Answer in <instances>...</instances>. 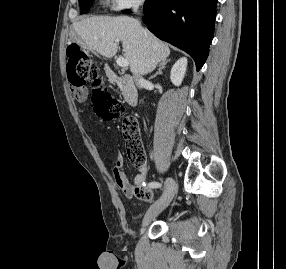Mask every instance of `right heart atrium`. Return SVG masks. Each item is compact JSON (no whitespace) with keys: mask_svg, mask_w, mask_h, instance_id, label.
I'll return each mask as SVG.
<instances>
[{"mask_svg":"<svg viewBox=\"0 0 286 269\" xmlns=\"http://www.w3.org/2000/svg\"><path fill=\"white\" fill-rule=\"evenodd\" d=\"M109 7L115 11L137 8L141 6L145 0H107Z\"/></svg>","mask_w":286,"mask_h":269,"instance_id":"right-heart-atrium-1","label":"right heart atrium"}]
</instances>
